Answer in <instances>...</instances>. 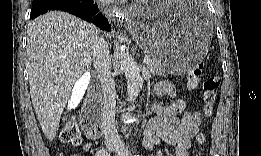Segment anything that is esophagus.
Wrapping results in <instances>:
<instances>
[{
  "label": "esophagus",
  "instance_id": "esophagus-1",
  "mask_svg": "<svg viewBox=\"0 0 261 156\" xmlns=\"http://www.w3.org/2000/svg\"><path fill=\"white\" fill-rule=\"evenodd\" d=\"M106 13L113 20H117V19L120 20L121 18L123 19V11L118 7H113L112 9H106Z\"/></svg>",
  "mask_w": 261,
  "mask_h": 156
}]
</instances>
